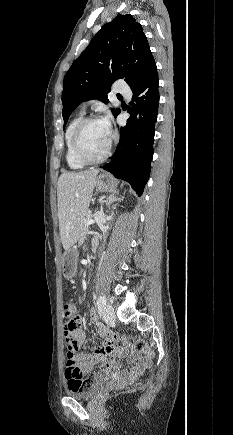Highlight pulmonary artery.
<instances>
[{"label": "pulmonary artery", "mask_w": 233, "mask_h": 435, "mask_svg": "<svg viewBox=\"0 0 233 435\" xmlns=\"http://www.w3.org/2000/svg\"><path fill=\"white\" fill-rule=\"evenodd\" d=\"M117 85L114 87V91L120 96L128 98L130 96V91L127 85L122 83L121 79L116 80Z\"/></svg>", "instance_id": "obj_1"}]
</instances>
